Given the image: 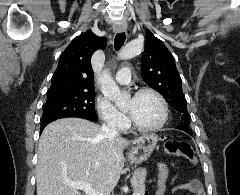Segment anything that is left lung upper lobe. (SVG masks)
<instances>
[{
  "label": "left lung upper lobe",
  "mask_w": 240,
  "mask_h": 195,
  "mask_svg": "<svg viewBox=\"0 0 240 195\" xmlns=\"http://www.w3.org/2000/svg\"><path fill=\"white\" fill-rule=\"evenodd\" d=\"M146 35L147 43L141 61L142 78L179 112L181 122L176 128L192 134L187 104L182 91V80L174 58L161 40L150 31H146Z\"/></svg>",
  "instance_id": "obj_1"
}]
</instances>
